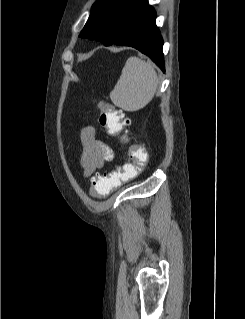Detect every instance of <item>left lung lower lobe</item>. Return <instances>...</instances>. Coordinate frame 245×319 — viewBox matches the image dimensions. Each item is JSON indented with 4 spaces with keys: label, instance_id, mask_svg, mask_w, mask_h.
Instances as JSON below:
<instances>
[{
    "label": "left lung lower lobe",
    "instance_id": "left-lung-lower-lobe-1",
    "mask_svg": "<svg viewBox=\"0 0 245 319\" xmlns=\"http://www.w3.org/2000/svg\"><path fill=\"white\" fill-rule=\"evenodd\" d=\"M155 19L154 8L146 3L130 17L112 44L138 49L149 56L164 72L163 39Z\"/></svg>",
    "mask_w": 245,
    "mask_h": 319
}]
</instances>
